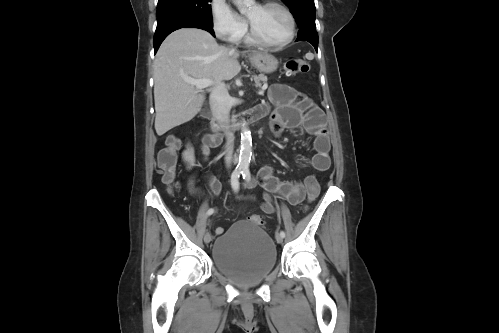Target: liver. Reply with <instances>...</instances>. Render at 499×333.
<instances>
[{
  "label": "liver",
  "mask_w": 499,
  "mask_h": 333,
  "mask_svg": "<svg viewBox=\"0 0 499 333\" xmlns=\"http://www.w3.org/2000/svg\"><path fill=\"white\" fill-rule=\"evenodd\" d=\"M238 57L239 52L218 45L204 30L182 28L171 33L154 60L156 133L162 136L200 111L205 94L185 78L231 80L241 70Z\"/></svg>",
  "instance_id": "6515ba94"
}]
</instances>
